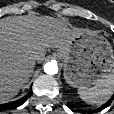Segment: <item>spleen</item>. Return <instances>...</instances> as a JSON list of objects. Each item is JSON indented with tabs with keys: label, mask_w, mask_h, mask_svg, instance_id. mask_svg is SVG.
Returning <instances> with one entry per match:
<instances>
[{
	"label": "spleen",
	"mask_w": 114,
	"mask_h": 114,
	"mask_svg": "<svg viewBox=\"0 0 114 114\" xmlns=\"http://www.w3.org/2000/svg\"><path fill=\"white\" fill-rule=\"evenodd\" d=\"M114 92V71L99 80L95 86L91 88L80 87L78 94L80 98L90 105L100 106L107 102Z\"/></svg>",
	"instance_id": "obj_1"
}]
</instances>
